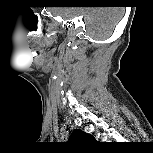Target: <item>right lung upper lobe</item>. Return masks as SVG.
<instances>
[{
	"label": "right lung upper lobe",
	"mask_w": 153,
	"mask_h": 153,
	"mask_svg": "<svg viewBox=\"0 0 153 153\" xmlns=\"http://www.w3.org/2000/svg\"><path fill=\"white\" fill-rule=\"evenodd\" d=\"M69 141L76 143H94L95 139L90 134H87L79 129H75L70 135Z\"/></svg>",
	"instance_id": "1"
}]
</instances>
